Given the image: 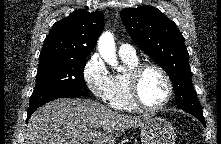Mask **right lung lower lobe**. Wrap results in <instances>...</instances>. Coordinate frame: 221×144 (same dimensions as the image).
Wrapping results in <instances>:
<instances>
[{"mask_svg": "<svg viewBox=\"0 0 221 144\" xmlns=\"http://www.w3.org/2000/svg\"><path fill=\"white\" fill-rule=\"evenodd\" d=\"M79 96H82V95H79V94H63V95L56 96V97L52 98V99L49 100V101H52V100L58 99V98H74V97H79ZM49 101H48V102H49ZM43 105H44V104H43ZM36 109H37V108H36ZM36 109L28 110V112H27V121L29 120V118L31 117V115L33 114V112H34Z\"/></svg>", "mask_w": 221, "mask_h": 144, "instance_id": "1", "label": "right lung lower lobe"}]
</instances>
